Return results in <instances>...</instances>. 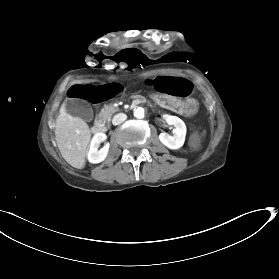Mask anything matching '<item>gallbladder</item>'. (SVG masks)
I'll list each match as a JSON object with an SVG mask.
<instances>
[{
    "label": "gallbladder",
    "instance_id": "1",
    "mask_svg": "<svg viewBox=\"0 0 279 279\" xmlns=\"http://www.w3.org/2000/svg\"><path fill=\"white\" fill-rule=\"evenodd\" d=\"M66 109L68 113L72 114L73 116H79L80 119L87 121L92 118L93 112L91 108L88 107L87 104L77 102L75 100L67 101L66 102Z\"/></svg>",
    "mask_w": 279,
    "mask_h": 279
}]
</instances>
